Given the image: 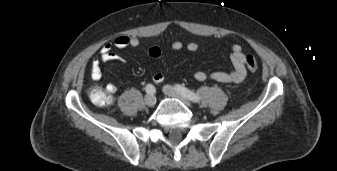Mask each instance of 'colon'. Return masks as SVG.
<instances>
[{
	"label": "colon",
	"mask_w": 337,
	"mask_h": 171,
	"mask_svg": "<svg viewBox=\"0 0 337 171\" xmlns=\"http://www.w3.org/2000/svg\"><path fill=\"white\" fill-rule=\"evenodd\" d=\"M246 66L249 71L254 72L258 68V62L253 55L246 56ZM90 100L97 106H108L113 102V98L110 93L102 89H92L89 92Z\"/></svg>",
	"instance_id": "obj_1"
}]
</instances>
